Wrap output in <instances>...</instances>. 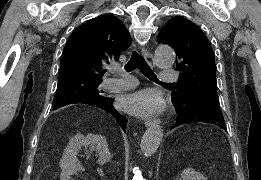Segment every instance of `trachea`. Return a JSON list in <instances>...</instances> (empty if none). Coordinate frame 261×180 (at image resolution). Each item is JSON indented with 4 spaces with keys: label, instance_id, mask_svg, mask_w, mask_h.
<instances>
[{
    "label": "trachea",
    "instance_id": "3493384b",
    "mask_svg": "<svg viewBox=\"0 0 261 180\" xmlns=\"http://www.w3.org/2000/svg\"><path fill=\"white\" fill-rule=\"evenodd\" d=\"M124 68L126 72H133V70L138 68L140 72L143 73V75L149 78V80H151L152 82L160 84L163 83L158 80L153 70L149 67L148 63L145 62V59L142 57V55L137 52L132 53L129 62L126 63Z\"/></svg>",
    "mask_w": 261,
    "mask_h": 180
}]
</instances>
